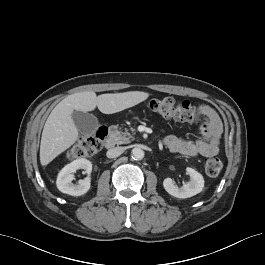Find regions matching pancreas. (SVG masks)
<instances>
[{
	"instance_id": "cf45deb5",
	"label": "pancreas",
	"mask_w": 265,
	"mask_h": 265,
	"mask_svg": "<svg viewBox=\"0 0 265 265\" xmlns=\"http://www.w3.org/2000/svg\"><path fill=\"white\" fill-rule=\"evenodd\" d=\"M132 132H134V129H132ZM133 140L134 137L127 130H125L124 132L117 130L115 131L114 142L117 145L128 144Z\"/></svg>"
}]
</instances>
